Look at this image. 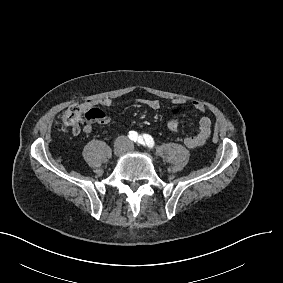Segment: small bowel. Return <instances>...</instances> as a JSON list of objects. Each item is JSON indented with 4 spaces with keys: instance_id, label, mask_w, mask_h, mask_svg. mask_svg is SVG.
Returning a JSON list of instances; mask_svg holds the SVG:
<instances>
[{
    "instance_id": "obj_1",
    "label": "small bowel",
    "mask_w": 283,
    "mask_h": 283,
    "mask_svg": "<svg viewBox=\"0 0 283 283\" xmlns=\"http://www.w3.org/2000/svg\"><path fill=\"white\" fill-rule=\"evenodd\" d=\"M114 104V101L109 98H101L99 100H87L81 104V109L85 111L84 117L89 122L99 121L100 123L108 122L109 118L100 110L97 106L110 107ZM121 105H143L151 110H159L161 108V102L158 99L137 98L132 100L121 101ZM193 107L197 113L201 114L198 123V130L194 135L188 136L184 139V145L189 149H196L201 147L210 137L212 130V120L209 116L204 115L205 107L199 101L193 102ZM172 116H180V110L175 109L172 112ZM168 126V123H167ZM84 132L89 134L92 132L91 124H87L84 127Z\"/></svg>"
}]
</instances>
